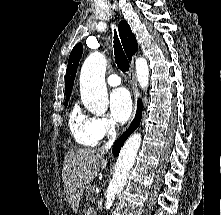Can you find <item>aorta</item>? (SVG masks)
I'll return each mask as SVG.
<instances>
[{
	"instance_id": "1",
	"label": "aorta",
	"mask_w": 221,
	"mask_h": 215,
	"mask_svg": "<svg viewBox=\"0 0 221 215\" xmlns=\"http://www.w3.org/2000/svg\"><path fill=\"white\" fill-rule=\"evenodd\" d=\"M106 58L100 52L92 53L84 62L80 73V93L85 107L98 116L108 109V93L105 83ZM136 76L140 87L145 90L149 84V67L143 57L136 58ZM141 134L134 133L123 145L118 156L113 177L105 192V208L108 210L116 195L126 185L129 172L134 165L141 144Z\"/></svg>"
}]
</instances>
